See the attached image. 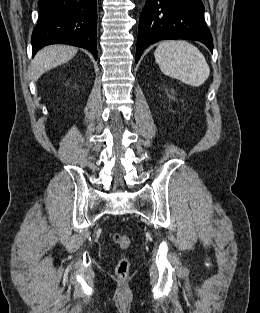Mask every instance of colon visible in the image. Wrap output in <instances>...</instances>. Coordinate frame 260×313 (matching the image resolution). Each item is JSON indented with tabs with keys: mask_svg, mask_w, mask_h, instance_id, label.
<instances>
[{
	"mask_svg": "<svg viewBox=\"0 0 260 313\" xmlns=\"http://www.w3.org/2000/svg\"><path fill=\"white\" fill-rule=\"evenodd\" d=\"M113 240L114 242L120 247V248H128L130 245V239L128 236L123 235L121 233H114L113 234ZM130 270V261L127 257H121L115 268L116 275L120 279H126Z\"/></svg>",
	"mask_w": 260,
	"mask_h": 313,
	"instance_id": "1",
	"label": "colon"
}]
</instances>
